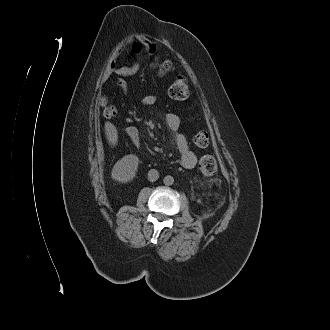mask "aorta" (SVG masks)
I'll return each mask as SVG.
<instances>
[{
  "label": "aorta",
  "instance_id": "1",
  "mask_svg": "<svg viewBox=\"0 0 330 330\" xmlns=\"http://www.w3.org/2000/svg\"><path fill=\"white\" fill-rule=\"evenodd\" d=\"M163 183L166 186H170V185H172L174 183V178L171 175H167V176L164 177Z\"/></svg>",
  "mask_w": 330,
  "mask_h": 330
}]
</instances>
